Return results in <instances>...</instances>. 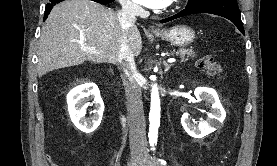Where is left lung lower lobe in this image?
<instances>
[{"label":"left lung lower lobe","instance_id":"obj_1","mask_svg":"<svg viewBox=\"0 0 277 166\" xmlns=\"http://www.w3.org/2000/svg\"><path fill=\"white\" fill-rule=\"evenodd\" d=\"M197 13H210L225 17L232 21L240 32L245 35L243 24L240 17V11L236 0H207L192 7H186L181 12L174 16L163 19L160 22L166 23L168 21Z\"/></svg>","mask_w":277,"mask_h":166}]
</instances>
